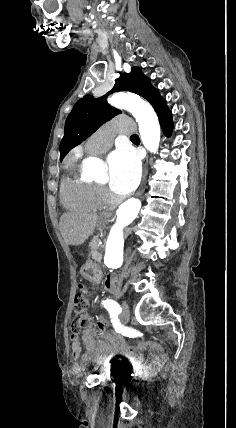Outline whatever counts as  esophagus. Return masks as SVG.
I'll return each mask as SVG.
<instances>
[{
    "label": "esophagus",
    "instance_id": "obj_1",
    "mask_svg": "<svg viewBox=\"0 0 236 428\" xmlns=\"http://www.w3.org/2000/svg\"><path fill=\"white\" fill-rule=\"evenodd\" d=\"M146 162H147V158H146ZM146 176H147V169L145 168L144 174H143V178L140 184V187L137 190L136 196H141L144 191H145V180H146Z\"/></svg>",
    "mask_w": 236,
    "mask_h": 428
}]
</instances>
